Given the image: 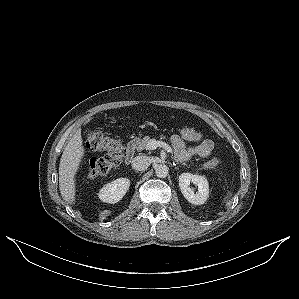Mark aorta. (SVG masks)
Returning <instances> with one entry per match:
<instances>
[{
    "instance_id": "1",
    "label": "aorta",
    "mask_w": 299,
    "mask_h": 299,
    "mask_svg": "<svg viewBox=\"0 0 299 299\" xmlns=\"http://www.w3.org/2000/svg\"><path fill=\"white\" fill-rule=\"evenodd\" d=\"M168 173H169V168L165 164H159L155 167V174L159 178L167 177Z\"/></svg>"
}]
</instances>
